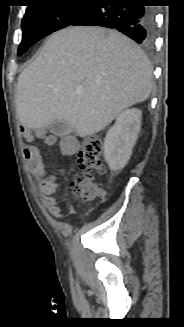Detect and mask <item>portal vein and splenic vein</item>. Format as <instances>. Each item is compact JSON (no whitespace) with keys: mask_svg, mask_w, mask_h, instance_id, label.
Listing matches in <instances>:
<instances>
[{"mask_svg":"<svg viewBox=\"0 0 184 327\" xmlns=\"http://www.w3.org/2000/svg\"><path fill=\"white\" fill-rule=\"evenodd\" d=\"M78 93H81V90H77Z\"/></svg>","mask_w":184,"mask_h":327,"instance_id":"portal-vein-and-splenic-vein-1","label":"portal vein and splenic vein"}]
</instances>
